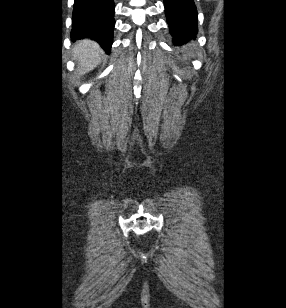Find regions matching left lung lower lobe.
<instances>
[{"label": "left lung lower lobe", "instance_id": "obj_1", "mask_svg": "<svg viewBox=\"0 0 286 308\" xmlns=\"http://www.w3.org/2000/svg\"><path fill=\"white\" fill-rule=\"evenodd\" d=\"M165 13L175 45L195 39L197 10L193 0H164Z\"/></svg>", "mask_w": 286, "mask_h": 308}]
</instances>
